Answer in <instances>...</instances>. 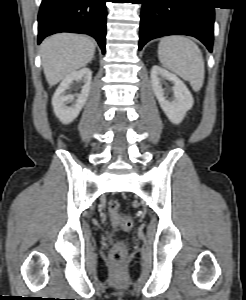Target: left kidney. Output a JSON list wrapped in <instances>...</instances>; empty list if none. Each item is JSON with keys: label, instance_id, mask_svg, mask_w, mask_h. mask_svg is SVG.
<instances>
[{"label": "left kidney", "instance_id": "5707ae66", "mask_svg": "<svg viewBox=\"0 0 246 300\" xmlns=\"http://www.w3.org/2000/svg\"><path fill=\"white\" fill-rule=\"evenodd\" d=\"M150 77L154 94L168 119L174 124L181 123L186 112L192 108L194 103L192 94L184 82L173 73L157 65L152 67ZM165 80L174 84L172 87L174 98L171 100H167L165 89L162 87Z\"/></svg>", "mask_w": 246, "mask_h": 300}]
</instances>
